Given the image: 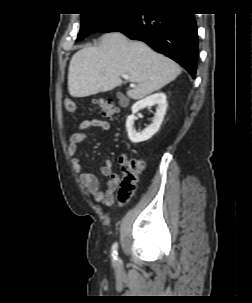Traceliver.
<instances>
[{
  "mask_svg": "<svg viewBox=\"0 0 252 303\" xmlns=\"http://www.w3.org/2000/svg\"><path fill=\"white\" fill-rule=\"evenodd\" d=\"M180 73L181 67L173 60L114 32L103 35L98 47H84L72 56L68 90L72 97H87L122 85L121 76L128 75L136 87L127 95L138 100L158 91Z\"/></svg>",
  "mask_w": 252,
  "mask_h": 303,
  "instance_id": "1",
  "label": "liver"
}]
</instances>
